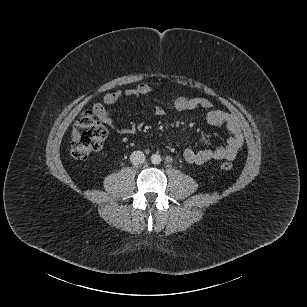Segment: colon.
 <instances>
[{
    "label": "colon",
    "instance_id": "5ec220e1",
    "mask_svg": "<svg viewBox=\"0 0 307 307\" xmlns=\"http://www.w3.org/2000/svg\"><path fill=\"white\" fill-rule=\"evenodd\" d=\"M105 127L95 118L92 111H87L74 123L71 131V154L76 159H85L99 150L106 138ZM225 171L233 169L231 162H223Z\"/></svg>",
    "mask_w": 307,
    "mask_h": 307
}]
</instances>
